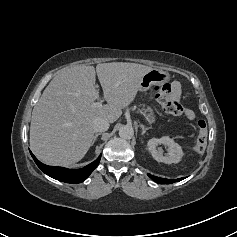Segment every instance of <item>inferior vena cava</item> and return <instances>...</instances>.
Masks as SVG:
<instances>
[{
	"instance_id": "1",
	"label": "inferior vena cava",
	"mask_w": 237,
	"mask_h": 237,
	"mask_svg": "<svg viewBox=\"0 0 237 237\" xmlns=\"http://www.w3.org/2000/svg\"><path fill=\"white\" fill-rule=\"evenodd\" d=\"M109 121L104 118H96L93 121V129L96 132H104L109 129Z\"/></svg>"
}]
</instances>
